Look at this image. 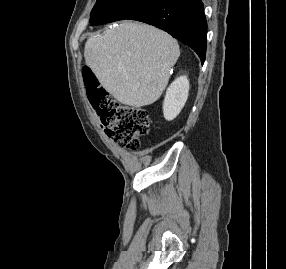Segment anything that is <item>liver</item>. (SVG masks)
Listing matches in <instances>:
<instances>
[{"label": "liver", "mask_w": 286, "mask_h": 269, "mask_svg": "<svg viewBox=\"0 0 286 269\" xmlns=\"http://www.w3.org/2000/svg\"><path fill=\"white\" fill-rule=\"evenodd\" d=\"M86 65L102 87L125 105L156 102L180 51L177 41L153 26L124 21L85 44Z\"/></svg>", "instance_id": "1"}]
</instances>
